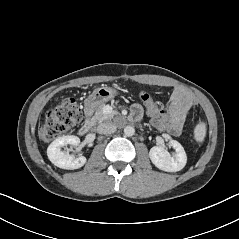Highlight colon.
I'll return each mask as SVG.
<instances>
[{
    "label": "colon",
    "mask_w": 239,
    "mask_h": 239,
    "mask_svg": "<svg viewBox=\"0 0 239 239\" xmlns=\"http://www.w3.org/2000/svg\"><path fill=\"white\" fill-rule=\"evenodd\" d=\"M144 102L150 125L159 133H168L171 126V118L164 111L160 102H157L146 91L139 94ZM82 120V111L74 98H66L55 107L49 109L40 125V137L43 140H51L74 126Z\"/></svg>",
    "instance_id": "1"
}]
</instances>
